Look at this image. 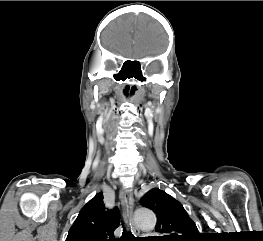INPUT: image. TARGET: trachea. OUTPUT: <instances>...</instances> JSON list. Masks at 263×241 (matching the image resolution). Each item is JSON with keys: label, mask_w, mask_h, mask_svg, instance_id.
I'll use <instances>...</instances> for the list:
<instances>
[{"label": "trachea", "mask_w": 263, "mask_h": 241, "mask_svg": "<svg viewBox=\"0 0 263 241\" xmlns=\"http://www.w3.org/2000/svg\"><path fill=\"white\" fill-rule=\"evenodd\" d=\"M137 238L134 237L131 232H127L125 227L123 226V234L121 238L117 239V241H136Z\"/></svg>", "instance_id": "trachea-1"}]
</instances>
